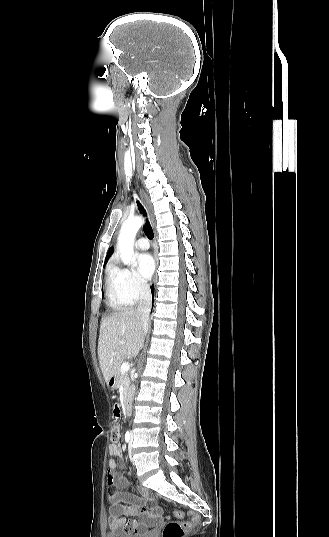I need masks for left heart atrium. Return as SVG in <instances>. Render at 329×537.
Instances as JSON below:
<instances>
[{"label": "left heart atrium", "mask_w": 329, "mask_h": 537, "mask_svg": "<svg viewBox=\"0 0 329 537\" xmlns=\"http://www.w3.org/2000/svg\"><path fill=\"white\" fill-rule=\"evenodd\" d=\"M137 269L140 276L147 280L151 277L155 269V263L153 257L148 253H142L137 256L136 259Z\"/></svg>", "instance_id": "obj_1"}]
</instances>
